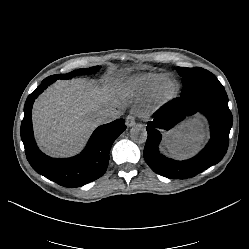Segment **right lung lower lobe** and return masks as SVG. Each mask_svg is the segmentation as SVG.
Masks as SVG:
<instances>
[{"instance_id": "obj_1", "label": "right lung lower lobe", "mask_w": 249, "mask_h": 249, "mask_svg": "<svg viewBox=\"0 0 249 249\" xmlns=\"http://www.w3.org/2000/svg\"><path fill=\"white\" fill-rule=\"evenodd\" d=\"M54 80L43 82L26 99L21 123V139L28 162L39 174L65 187H79L101 177L109 163V152L115 139L126 129L125 120L118 119L99 126L91 135L85 149L78 155L56 159L43 154L36 145L32 127L34 100Z\"/></svg>"}]
</instances>
